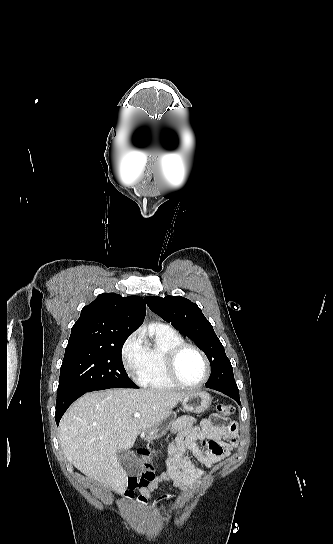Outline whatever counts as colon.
Instances as JSON below:
<instances>
[{"label":"colon","instance_id":"colon-1","mask_svg":"<svg viewBox=\"0 0 333 544\" xmlns=\"http://www.w3.org/2000/svg\"><path fill=\"white\" fill-rule=\"evenodd\" d=\"M217 411L220 415L229 416L234 413L235 409L232 405L221 404L217 407ZM138 453L141 456L145 470L140 476L129 477L128 491L126 493L128 497H132L134 490L147 487L155 479L150 451L147 448H140Z\"/></svg>","mask_w":333,"mask_h":544}]
</instances>
